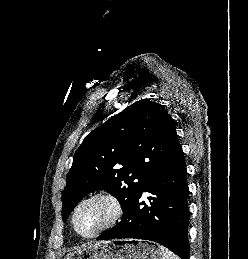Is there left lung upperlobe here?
<instances>
[{
    "mask_svg": "<svg viewBox=\"0 0 248 259\" xmlns=\"http://www.w3.org/2000/svg\"><path fill=\"white\" fill-rule=\"evenodd\" d=\"M179 147L164 106L147 99L130 105L88 134L76 150L62 193L63 221L97 189L116 197L124 214L148 178Z\"/></svg>",
    "mask_w": 248,
    "mask_h": 259,
    "instance_id": "5c2ea615",
    "label": "left lung upper lobe"
}]
</instances>
